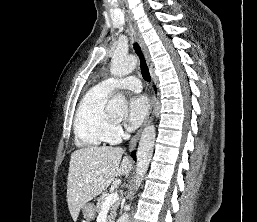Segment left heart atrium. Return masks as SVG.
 Instances as JSON below:
<instances>
[{"mask_svg":"<svg viewBox=\"0 0 257 222\" xmlns=\"http://www.w3.org/2000/svg\"><path fill=\"white\" fill-rule=\"evenodd\" d=\"M149 112V101L144 95L132 97L128 105L127 128L136 129L146 118Z\"/></svg>","mask_w":257,"mask_h":222,"instance_id":"1","label":"left heart atrium"}]
</instances>
